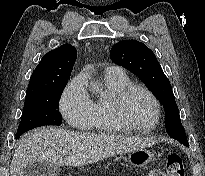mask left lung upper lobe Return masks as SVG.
<instances>
[{
    "label": "left lung upper lobe",
    "mask_w": 205,
    "mask_h": 176,
    "mask_svg": "<svg viewBox=\"0 0 205 176\" xmlns=\"http://www.w3.org/2000/svg\"><path fill=\"white\" fill-rule=\"evenodd\" d=\"M112 61L138 76L164 105L166 128L169 136L189 146L179 110L170 85L154 53L136 40H123L116 43L110 52Z\"/></svg>",
    "instance_id": "1"
}]
</instances>
